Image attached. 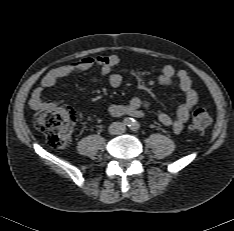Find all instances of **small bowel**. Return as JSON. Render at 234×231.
I'll use <instances>...</instances> for the list:
<instances>
[{
  "label": "small bowel",
  "mask_w": 234,
  "mask_h": 231,
  "mask_svg": "<svg viewBox=\"0 0 234 231\" xmlns=\"http://www.w3.org/2000/svg\"><path fill=\"white\" fill-rule=\"evenodd\" d=\"M119 63L120 58L115 54H110L96 57H84L80 60L58 66L46 73L39 86L34 89L30 99V105L35 110H50L58 107L61 101L47 99L45 97V92L53 87L59 79L90 70L94 67L100 68L101 75L107 77L109 85L113 88H117L123 81L122 76L113 71ZM156 80L163 86L176 84L183 96V102L177 108L175 119L164 111H158L157 113L160 123L164 126L172 127L175 134H181L185 129L193 107L198 102V94L192 88L191 78L186 71L182 70L176 72L173 66L165 65L157 75ZM149 107L150 102L148 100L135 97L125 105L111 104L108 106L107 110L112 116L129 115L134 118H142L145 115V110Z\"/></svg>",
  "instance_id": "obj_1"
}]
</instances>
